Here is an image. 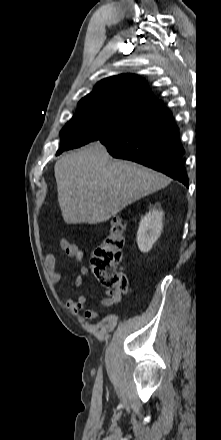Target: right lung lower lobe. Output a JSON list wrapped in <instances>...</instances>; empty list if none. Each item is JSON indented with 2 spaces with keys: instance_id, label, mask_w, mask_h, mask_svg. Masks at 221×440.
<instances>
[{
  "instance_id": "98d812e1",
  "label": "right lung lower lobe",
  "mask_w": 221,
  "mask_h": 440,
  "mask_svg": "<svg viewBox=\"0 0 221 440\" xmlns=\"http://www.w3.org/2000/svg\"><path fill=\"white\" fill-rule=\"evenodd\" d=\"M98 140L113 157L143 164L188 187L178 127L162 101L135 112Z\"/></svg>"
}]
</instances>
